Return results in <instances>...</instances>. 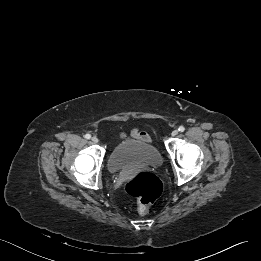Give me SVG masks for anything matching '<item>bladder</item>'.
Segmentation results:
<instances>
[{
	"label": "bladder",
	"mask_w": 261,
	"mask_h": 261,
	"mask_svg": "<svg viewBox=\"0 0 261 261\" xmlns=\"http://www.w3.org/2000/svg\"><path fill=\"white\" fill-rule=\"evenodd\" d=\"M162 163L159 150L152 144L137 140L126 139L116 145L107 159L108 169L119 172L130 167H158Z\"/></svg>",
	"instance_id": "obj_1"
}]
</instances>
